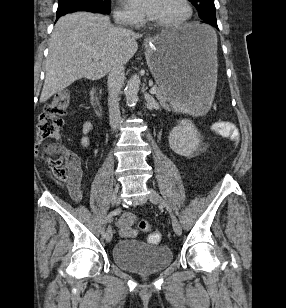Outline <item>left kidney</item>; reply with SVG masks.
I'll use <instances>...</instances> for the list:
<instances>
[{
	"mask_svg": "<svg viewBox=\"0 0 286 308\" xmlns=\"http://www.w3.org/2000/svg\"><path fill=\"white\" fill-rule=\"evenodd\" d=\"M169 145L178 155L190 157L199 147V133L191 120H179L170 132Z\"/></svg>",
	"mask_w": 286,
	"mask_h": 308,
	"instance_id": "1",
	"label": "left kidney"
}]
</instances>
